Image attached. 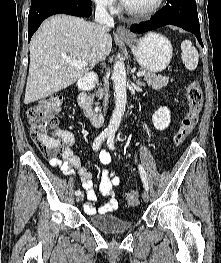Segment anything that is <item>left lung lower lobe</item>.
Returning <instances> with one entry per match:
<instances>
[{
  "label": "left lung lower lobe",
  "mask_w": 221,
  "mask_h": 263,
  "mask_svg": "<svg viewBox=\"0 0 221 263\" xmlns=\"http://www.w3.org/2000/svg\"><path fill=\"white\" fill-rule=\"evenodd\" d=\"M168 24L192 32L203 47L195 0H167L166 6L155 16L146 22L131 25L130 31L141 34Z\"/></svg>",
  "instance_id": "1"
}]
</instances>
